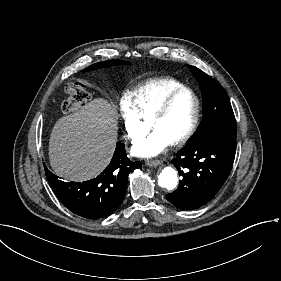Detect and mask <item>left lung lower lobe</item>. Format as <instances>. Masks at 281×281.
<instances>
[{
	"mask_svg": "<svg viewBox=\"0 0 281 281\" xmlns=\"http://www.w3.org/2000/svg\"><path fill=\"white\" fill-rule=\"evenodd\" d=\"M236 139L207 134L191 139L172 163L183 179L167 199L184 210L208 203L226 181L235 157Z\"/></svg>",
	"mask_w": 281,
	"mask_h": 281,
	"instance_id": "1",
	"label": "left lung lower lobe"
}]
</instances>
